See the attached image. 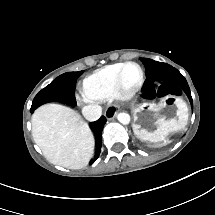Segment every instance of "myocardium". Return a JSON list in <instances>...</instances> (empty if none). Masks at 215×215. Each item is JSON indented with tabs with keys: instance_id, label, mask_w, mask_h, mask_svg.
I'll list each match as a JSON object with an SVG mask.
<instances>
[{
	"instance_id": "f54148a6",
	"label": "myocardium",
	"mask_w": 215,
	"mask_h": 215,
	"mask_svg": "<svg viewBox=\"0 0 215 215\" xmlns=\"http://www.w3.org/2000/svg\"><path fill=\"white\" fill-rule=\"evenodd\" d=\"M126 66H133L137 69V72H138V78H137L136 82L133 84V86L128 91L126 89V86L121 85V80H122L124 69ZM117 71H118V76L116 78L117 82L114 85V87H115L114 92H115L116 98L119 100H122L124 98H126V99L133 98L144 83V72H143L141 66L134 61H127L124 63H120L119 69Z\"/></svg>"
}]
</instances>
